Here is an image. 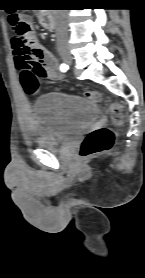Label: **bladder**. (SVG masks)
Returning a JSON list of instances; mask_svg holds the SVG:
<instances>
[{
    "instance_id": "bladder-1",
    "label": "bladder",
    "mask_w": 145,
    "mask_h": 278,
    "mask_svg": "<svg viewBox=\"0 0 145 278\" xmlns=\"http://www.w3.org/2000/svg\"><path fill=\"white\" fill-rule=\"evenodd\" d=\"M100 116L96 103L86 97L47 93L34 104V145L55 150L77 138Z\"/></svg>"
}]
</instances>
